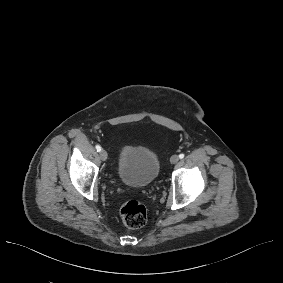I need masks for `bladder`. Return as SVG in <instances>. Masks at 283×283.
<instances>
[{
  "instance_id": "31cf9c89",
  "label": "bladder",
  "mask_w": 283,
  "mask_h": 283,
  "mask_svg": "<svg viewBox=\"0 0 283 283\" xmlns=\"http://www.w3.org/2000/svg\"><path fill=\"white\" fill-rule=\"evenodd\" d=\"M119 156L117 172L122 183L144 188L159 172L160 159L147 147L129 145L120 150Z\"/></svg>"
}]
</instances>
